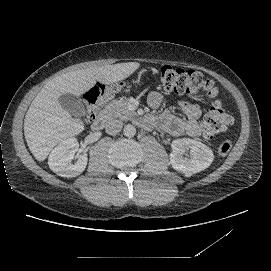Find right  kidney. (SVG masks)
Segmentation results:
<instances>
[{
  "label": "right kidney",
  "mask_w": 271,
  "mask_h": 271,
  "mask_svg": "<svg viewBox=\"0 0 271 271\" xmlns=\"http://www.w3.org/2000/svg\"><path fill=\"white\" fill-rule=\"evenodd\" d=\"M79 143L76 138H68L58 144L50 153L48 164L50 169L57 175L72 178L80 175L86 168L87 155L76 154ZM77 161L72 164V160Z\"/></svg>",
  "instance_id": "ca27d5eb"
}]
</instances>
